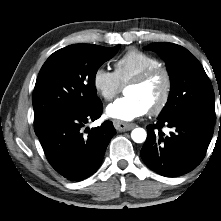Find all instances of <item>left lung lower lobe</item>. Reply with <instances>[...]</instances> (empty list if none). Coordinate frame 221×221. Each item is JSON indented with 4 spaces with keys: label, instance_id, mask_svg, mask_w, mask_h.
<instances>
[{
    "label": "left lung lower lobe",
    "instance_id": "0a47b994",
    "mask_svg": "<svg viewBox=\"0 0 221 221\" xmlns=\"http://www.w3.org/2000/svg\"><path fill=\"white\" fill-rule=\"evenodd\" d=\"M163 126L174 127L175 132L165 136L161 131ZM147 128V139L141 149L144 163L160 175L175 177L201 163L212 138L214 122L187 112L158 117V122Z\"/></svg>",
    "mask_w": 221,
    "mask_h": 221
}]
</instances>
